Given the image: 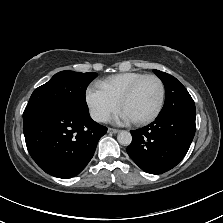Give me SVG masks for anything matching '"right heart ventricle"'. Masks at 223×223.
Masks as SVG:
<instances>
[{"instance_id":"e07e8e85","label":"right heart ventricle","mask_w":223,"mask_h":223,"mask_svg":"<svg viewBox=\"0 0 223 223\" xmlns=\"http://www.w3.org/2000/svg\"><path fill=\"white\" fill-rule=\"evenodd\" d=\"M146 76L141 72H123L109 76L105 80L99 81L106 90L118 99L140 78Z\"/></svg>"}]
</instances>
